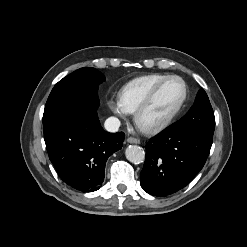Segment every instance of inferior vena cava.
<instances>
[{
	"label": "inferior vena cava",
	"mask_w": 247,
	"mask_h": 247,
	"mask_svg": "<svg viewBox=\"0 0 247 247\" xmlns=\"http://www.w3.org/2000/svg\"><path fill=\"white\" fill-rule=\"evenodd\" d=\"M104 126L108 132H117L120 127V121L116 117H109L106 119Z\"/></svg>",
	"instance_id": "1"
}]
</instances>
